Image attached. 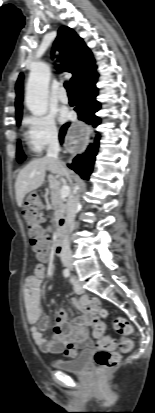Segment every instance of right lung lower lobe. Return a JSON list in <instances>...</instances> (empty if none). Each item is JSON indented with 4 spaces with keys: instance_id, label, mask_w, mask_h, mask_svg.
Returning a JSON list of instances; mask_svg holds the SVG:
<instances>
[{
    "instance_id": "98d812e1",
    "label": "right lung lower lobe",
    "mask_w": 155,
    "mask_h": 413,
    "mask_svg": "<svg viewBox=\"0 0 155 413\" xmlns=\"http://www.w3.org/2000/svg\"><path fill=\"white\" fill-rule=\"evenodd\" d=\"M98 78V74L88 76L80 81L75 87V93L77 94V107L75 110L78 113L80 120L88 124H92L94 127L100 124V118L95 113L100 109V103L95 99L98 95V89L95 86ZM69 124L63 125L60 130L59 138L63 141L64 135ZM100 136L95 137V142L90 144L87 150L77 155L72 164L68 166L77 172L83 179H89V175L92 172L95 156L98 152Z\"/></svg>"
}]
</instances>
